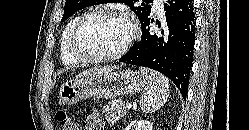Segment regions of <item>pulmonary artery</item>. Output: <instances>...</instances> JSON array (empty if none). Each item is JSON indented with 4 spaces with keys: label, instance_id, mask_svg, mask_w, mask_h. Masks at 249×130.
Returning a JSON list of instances; mask_svg holds the SVG:
<instances>
[{
    "label": "pulmonary artery",
    "instance_id": "pulmonary-artery-1",
    "mask_svg": "<svg viewBox=\"0 0 249 130\" xmlns=\"http://www.w3.org/2000/svg\"><path fill=\"white\" fill-rule=\"evenodd\" d=\"M154 8L159 12H163V0H154Z\"/></svg>",
    "mask_w": 249,
    "mask_h": 130
}]
</instances>
